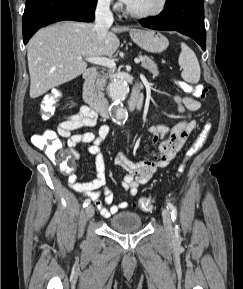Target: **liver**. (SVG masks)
<instances>
[{"mask_svg":"<svg viewBox=\"0 0 243 289\" xmlns=\"http://www.w3.org/2000/svg\"><path fill=\"white\" fill-rule=\"evenodd\" d=\"M94 26L65 21L40 29L30 39L27 59L32 99L80 76L87 68V58L112 56L120 45L115 33L129 30L114 27L99 40Z\"/></svg>","mask_w":243,"mask_h":289,"instance_id":"liver-1","label":"liver"}]
</instances>
